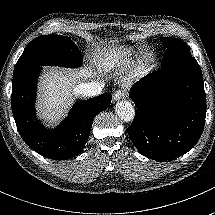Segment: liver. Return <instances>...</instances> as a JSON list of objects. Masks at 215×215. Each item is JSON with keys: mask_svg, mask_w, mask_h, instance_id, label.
Listing matches in <instances>:
<instances>
[{"mask_svg": "<svg viewBox=\"0 0 215 215\" xmlns=\"http://www.w3.org/2000/svg\"><path fill=\"white\" fill-rule=\"evenodd\" d=\"M114 51V48H104L95 56L94 60L101 62L105 59L110 61ZM132 74L141 76L143 74V66L138 65L135 67ZM91 76L92 70L88 67L80 70L44 67V74L39 77L36 109L38 117L47 123V127L58 124L74 103L73 95L78 96L76 92L77 80Z\"/></svg>", "mask_w": 215, "mask_h": 215, "instance_id": "liver-1", "label": "liver"}]
</instances>
